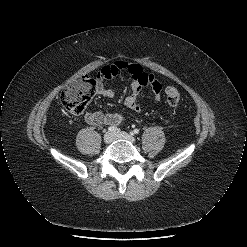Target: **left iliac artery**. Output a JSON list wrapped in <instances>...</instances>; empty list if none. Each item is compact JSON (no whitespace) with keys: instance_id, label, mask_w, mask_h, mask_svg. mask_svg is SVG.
<instances>
[{"instance_id":"obj_1","label":"left iliac artery","mask_w":247,"mask_h":247,"mask_svg":"<svg viewBox=\"0 0 247 247\" xmlns=\"http://www.w3.org/2000/svg\"><path fill=\"white\" fill-rule=\"evenodd\" d=\"M139 132H140V131H139L138 129H134V130L131 132V134H132V135H134V134H139Z\"/></svg>"}]
</instances>
